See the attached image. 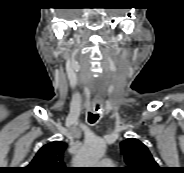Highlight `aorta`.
<instances>
[{"instance_id":"762f6f07","label":"aorta","mask_w":184,"mask_h":173,"mask_svg":"<svg viewBox=\"0 0 184 173\" xmlns=\"http://www.w3.org/2000/svg\"><path fill=\"white\" fill-rule=\"evenodd\" d=\"M106 150L105 143L98 137L87 139L81 147L76 164L80 167H95L98 161L102 158Z\"/></svg>"}]
</instances>
